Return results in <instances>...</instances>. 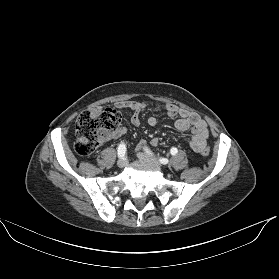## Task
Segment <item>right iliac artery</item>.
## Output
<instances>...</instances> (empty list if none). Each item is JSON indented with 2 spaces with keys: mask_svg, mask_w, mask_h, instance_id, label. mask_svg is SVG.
<instances>
[{
  "mask_svg": "<svg viewBox=\"0 0 279 279\" xmlns=\"http://www.w3.org/2000/svg\"><path fill=\"white\" fill-rule=\"evenodd\" d=\"M126 154V146L124 143H121L119 146H118V157L119 158H122L124 157Z\"/></svg>",
  "mask_w": 279,
  "mask_h": 279,
  "instance_id": "82829eb1",
  "label": "right iliac artery"
}]
</instances>
